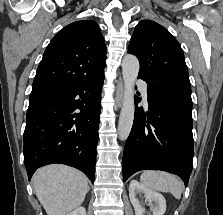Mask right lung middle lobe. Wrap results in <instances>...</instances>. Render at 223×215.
I'll return each instance as SVG.
<instances>
[{"label": "right lung middle lobe", "instance_id": "obj_1", "mask_svg": "<svg viewBox=\"0 0 223 215\" xmlns=\"http://www.w3.org/2000/svg\"><path fill=\"white\" fill-rule=\"evenodd\" d=\"M56 95H30L29 97V104H32V103H36V102H41V101H45V100H48L52 97H55Z\"/></svg>", "mask_w": 223, "mask_h": 215}]
</instances>
